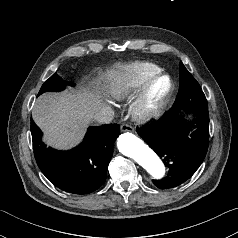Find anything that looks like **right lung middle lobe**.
<instances>
[{
  "label": "right lung middle lobe",
  "instance_id": "1",
  "mask_svg": "<svg viewBox=\"0 0 238 238\" xmlns=\"http://www.w3.org/2000/svg\"><path fill=\"white\" fill-rule=\"evenodd\" d=\"M67 83L53 74L41 87L38 95L47 91H59L64 89Z\"/></svg>",
  "mask_w": 238,
  "mask_h": 238
}]
</instances>
